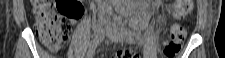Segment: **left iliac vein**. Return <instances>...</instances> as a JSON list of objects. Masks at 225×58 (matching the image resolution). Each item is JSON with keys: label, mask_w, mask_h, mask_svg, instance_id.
<instances>
[{"label": "left iliac vein", "mask_w": 225, "mask_h": 58, "mask_svg": "<svg viewBox=\"0 0 225 58\" xmlns=\"http://www.w3.org/2000/svg\"><path fill=\"white\" fill-rule=\"evenodd\" d=\"M110 37L115 43H121L125 41L124 34L116 27L111 30Z\"/></svg>", "instance_id": "obj_1"}]
</instances>
